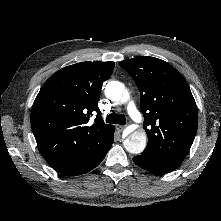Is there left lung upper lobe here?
<instances>
[{"instance_id": "1", "label": "left lung upper lobe", "mask_w": 221, "mask_h": 221, "mask_svg": "<svg viewBox=\"0 0 221 221\" xmlns=\"http://www.w3.org/2000/svg\"><path fill=\"white\" fill-rule=\"evenodd\" d=\"M119 65L137 84L148 144L144 152L183 161L194 141L198 111L184 77L167 62L149 56Z\"/></svg>"}]
</instances>
